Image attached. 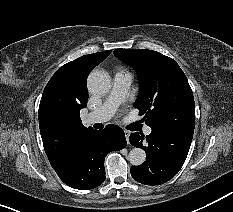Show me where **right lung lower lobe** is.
Masks as SVG:
<instances>
[{"mask_svg": "<svg viewBox=\"0 0 233 212\" xmlns=\"http://www.w3.org/2000/svg\"><path fill=\"white\" fill-rule=\"evenodd\" d=\"M126 145L124 131L118 126L108 125L102 130L91 129L80 137L74 151L53 168L68 186L79 190L92 189L105 180V156Z\"/></svg>", "mask_w": 233, "mask_h": 212, "instance_id": "1", "label": "right lung lower lobe"}]
</instances>
